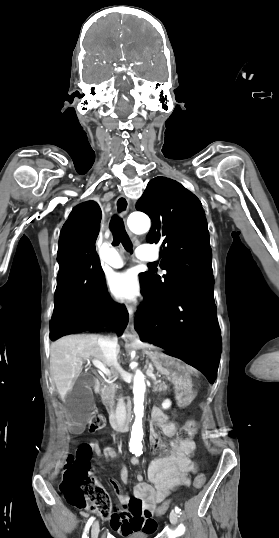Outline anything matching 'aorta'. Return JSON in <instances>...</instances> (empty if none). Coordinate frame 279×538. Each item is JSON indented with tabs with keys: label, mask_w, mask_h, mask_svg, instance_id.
Here are the masks:
<instances>
[{
	"label": "aorta",
	"mask_w": 279,
	"mask_h": 538,
	"mask_svg": "<svg viewBox=\"0 0 279 538\" xmlns=\"http://www.w3.org/2000/svg\"><path fill=\"white\" fill-rule=\"evenodd\" d=\"M127 224L131 231L137 234L146 233L149 231L151 223L147 215L142 213H132L127 220ZM145 376L140 370H137L133 381V394H134V413L135 421L132 426L130 449L142 448V417L144 413V393L146 389Z\"/></svg>",
	"instance_id": "762f6f07"
}]
</instances>
